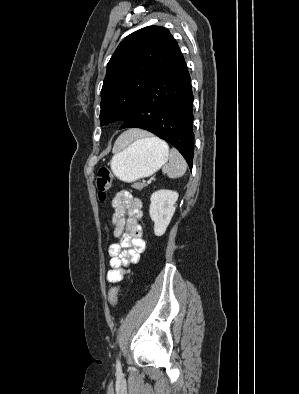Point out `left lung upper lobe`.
Instances as JSON below:
<instances>
[{
  "label": "left lung upper lobe",
  "mask_w": 299,
  "mask_h": 394,
  "mask_svg": "<svg viewBox=\"0 0 299 394\" xmlns=\"http://www.w3.org/2000/svg\"><path fill=\"white\" fill-rule=\"evenodd\" d=\"M169 30L141 28L124 38L107 65L101 90V125L127 120L153 81L179 56Z\"/></svg>",
  "instance_id": "obj_1"
}]
</instances>
